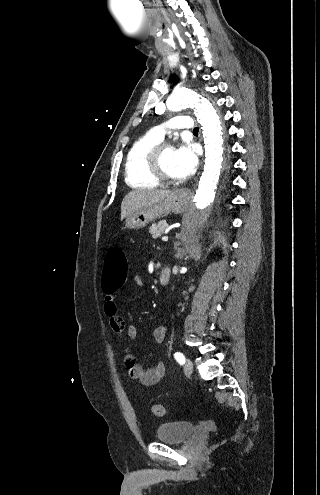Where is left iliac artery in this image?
Instances as JSON below:
<instances>
[{
	"label": "left iliac artery",
	"instance_id": "obj_1",
	"mask_svg": "<svg viewBox=\"0 0 320 495\" xmlns=\"http://www.w3.org/2000/svg\"><path fill=\"white\" fill-rule=\"evenodd\" d=\"M174 358L180 365H183L185 363V356L181 352H175Z\"/></svg>",
	"mask_w": 320,
	"mask_h": 495
}]
</instances>
